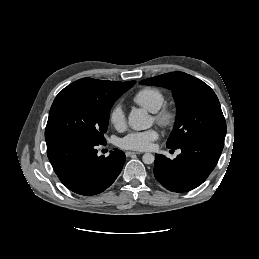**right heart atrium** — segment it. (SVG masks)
Segmentation results:
<instances>
[{
  "instance_id": "1",
  "label": "right heart atrium",
  "mask_w": 259,
  "mask_h": 259,
  "mask_svg": "<svg viewBox=\"0 0 259 259\" xmlns=\"http://www.w3.org/2000/svg\"><path fill=\"white\" fill-rule=\"evenodd\" d=\"M109 122L114 128L118 130H121L125 127L126 116L122 106L116 105L111 109L109 113Z\"/></svg>"
}]
</instances>
